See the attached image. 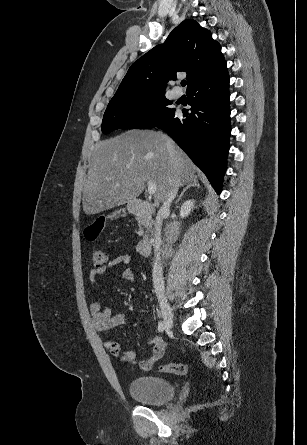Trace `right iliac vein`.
I'll return each instance as SVG.
<instances>
[{
	"instance_id": "obj_1",
	"label": "right iliac vein",
	"mask_w": 307,
	"mask_h": 445,
	"mask_svg": "<svg viewBox=\"0 0 307 445\" xmlns=\"http://www.w3.org/2000/svg\"><path fill=\"white\" fill-rule=\"evenodd\" d=\"M160 308H161L165 328L168 330L172 329L173 314H172V309H171L169 303L164 299L160 300Z\"/></svg>"
}]
</instances>
